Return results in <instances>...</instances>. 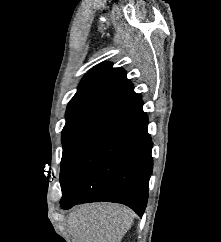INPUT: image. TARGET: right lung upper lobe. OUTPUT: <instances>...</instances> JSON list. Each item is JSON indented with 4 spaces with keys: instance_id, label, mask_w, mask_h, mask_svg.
Segmentation results:
<instances>
[{
    "instance_id": "obj_1",
    "label": "right lung upper lobe",
    "mask_w": 221,
    "mask_h": 242,
    "mask_svg": "<svg viewBox=\"0 0 221 242\" xmlns=\"http://www.w3.org/2000/svg\"><path fill=\"white\" fill-rule=\"evenodd\" d=\"M102 62L84 75L66 110V124H104L141 99L122 68Z\"/></svg>"
}]
</instances>
